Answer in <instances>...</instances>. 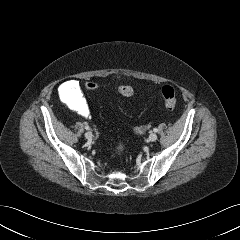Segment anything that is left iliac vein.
<instances>
[{
    "label": "left iliac vein",
    "instance_id": "1",
    "mask_svg": "<svg viewBox=\"0 0 240 240\" xmlns=\"http://www.w3.org/2000/svg\"><path fill=\"white\" fill-rule=\"evenodd\" d=\"M150 142H154L157 140V135L155 133H151L148 137Z\"/></svg>",
    "mask_w": 240,
    "mask_h": 240
}]
</instances>
